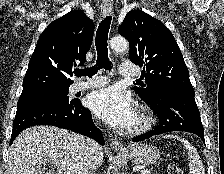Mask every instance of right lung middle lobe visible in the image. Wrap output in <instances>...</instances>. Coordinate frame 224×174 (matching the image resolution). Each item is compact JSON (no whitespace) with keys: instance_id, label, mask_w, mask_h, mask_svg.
Listing matches in <instances>:
<instances>
[{"instance_id":"dd1d6c3e","label":"right lung middle lobe","mask_w":224,"mask_h":174,"mask_svg":"<svg viewBox=\"0 0 224 174\" xmlns=\"http://www.w3.org/2000/svg\"><path fill=\"white\" fill-rule=\"evenodd\" d=\"M36 91L59 93V94H62L63 97L66 98L67 100H70L68 97L69 85H64V86L47 85V86H44L41 89L36 90ZM36 91H34V92H36Z\"/></svg>"}]
</instances>
